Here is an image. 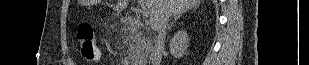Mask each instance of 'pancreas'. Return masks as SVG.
Segmentation results:
<instances>
[{"label": "pancreas", "mask_w": 309, "mask_h": 65, "mask_svg": "<svg viewBox=\"0 0 309 65\" xmlns=\"http://www.w3.org/2000/svg\"><path fill=\"white\" fill-rule=\"evenodd\" d=\"M151 48V41L144 35L138 34L134 35L132 38V45L129 48V59L135 61L144 52L149 51Z\"/></svg>", "instance_id": "cf45deb5"}]
</instances>
